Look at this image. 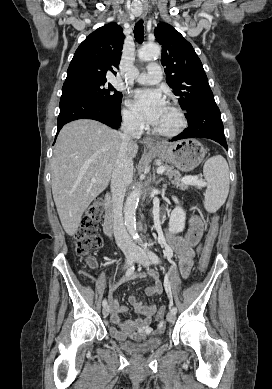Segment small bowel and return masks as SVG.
<instances>
[{
	"mask_svg": "<svg viewBox=\"0 0 272 389\" xmlns=\"http://www.w3.org/2000/svg\"><path fill=\"white\" fill-rule=\"evenodd\" d=\"M203 234V223L201 217L198 214L191 216L189 220V227L184 236L175 235L172 233L167 234V242L169 245L168 255L175 254L179 271L182 277H188L191 268L193 266V260L195 257V250L200 252L202 249L201 238ZM88 265L91 268L97 267V262L93 258L87 260ZM147 276H151L154 279V283L147 290L149 296H155L162 293L163 285L160 274L155 270H150L147 273H138L134 277L139 279H145ZM110 305L112 308L111 319L115 324L122 327L121 330L111 328L110 332L116 339L122 340L130 338L135 341L143 340L153 334V328L151 326L152 317L155 314L157 307L154 304L148 305L137 299L132 295L129 297V303L133 306L134 310L141 315L129 323L122 320L121 316L127 312V307L119 305L115 298L110 295ZM130 324V325H129ZM136 329L133 330L132 328Z\"/></svg>",
	"mask_w": 272,
	"mask_h": 389,
	"instance_id": "c3829d8e",
	"label": "small bowel"
}]
</instances>
